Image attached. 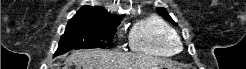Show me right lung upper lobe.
<instances>
[{"mask_svg": "<svg viewBox=\"0 0 246 69\" xmlns=\"http://www.w3.org/2000/svg\"><path fill=\"white\" fill-rule=\"evenodd\" d=\"M123 16H116L107 12L103 7L83 6L69 21H120Z\"/></svg>", "mask_w": 246, "mask_h": 69, "instance_id": "cb5924a9", "label": "right lung upper lobe"}]
</instances>
